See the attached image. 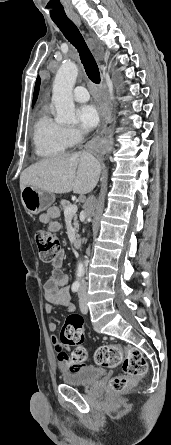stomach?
Masks as SVG:
<instances>
[{
	"label": "stomach",
	"instance_id": "1",
	"mask_svg": "<svg viewBox=\"0 0 171 445\" xmlns=\"http://www.w3.org/2000/svg\"><path fill=\"white\" fill-rule=\"evenodd\" d=\"M21 201L28 213L36 215L50 208L55 196L40 188L26 186L21 191Z\"/></svg>",
	"mask_w": 171,
	"mask_h": 445
}]
</instances>
